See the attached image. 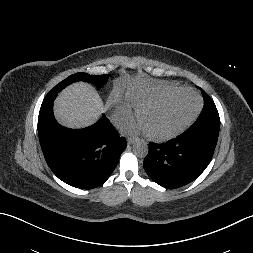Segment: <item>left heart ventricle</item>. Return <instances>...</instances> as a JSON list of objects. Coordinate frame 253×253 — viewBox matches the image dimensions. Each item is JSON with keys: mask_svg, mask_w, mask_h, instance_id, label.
I'll return each mask as SVG.
<instances>
[{"mask_svg": "<svg viewBox=\"0 0 253 253\" xmlns=\"http://www.w3.org/2000/svg\"><path fill=\"white\" fill-rule=\"evenodd\" d=\"M195 105L196 97L193 94L181 93L165 104L148 110L140 120L150 133H168L190 115Z\"/></svg>", "mask_w": 253, "mask_h": 253, "instance_id": "b2bd125f", "label": "left heart ventricle"}]
</instances>
